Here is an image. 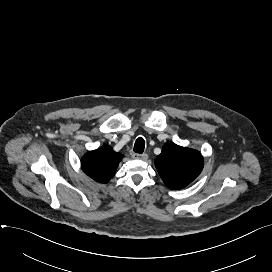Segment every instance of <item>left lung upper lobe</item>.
Masks as SVG:
<instances>
[{"mask_svg":"<svg viewBox=\"0 0 272 272\" xmlns=\"http://www.w3.org/2000/svg\"><path fill=\"white\" fill-rule=\"evenodd\" d=\"M155 166L165 185L181 189L195 180L203 169V157L197 150L166 143Z\"/></svg>","mask_w":272,"mask_h":272,"instance_id":"1","label":"left lung upper lobe"}]
</instances>
